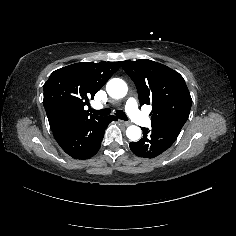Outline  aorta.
<instances>
[{
    "mask_svg": "<svg viewBox=\"0 0 236 236\" xmlns=\"http://www.w3.org/2000/svg\"><path fill=\"white\" fill-rule=\"evenodd\" d=\"M106 91L110 97L119 99L126 96L128 87L125 81H123L122 79L113 78L108 81L106 85ZM141 134L142 131L140 127L136 125H131L126 130V136L131 141H138L141 138Z\"/></svg>",
    "mask_w": 236,
    "mask_h": 236,
    "instance_id": "obj_1",
    "label": "aorta"
}]
</instances>
